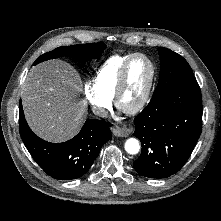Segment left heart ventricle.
<instances>
[{
    "label": "left heart ventricle",
    "mask_w": 221,
    "mask_h": 221,
    "mask_svg": "<svg viewBox=\"0 0 221 221\" xmlns=\"http://www.w3.org/2000/svg\"><path fill=\"white\" fill-rule=\"evenodd\" d=\"M150 65L143 58H136L130 65L127 84L120 100L122 109H130L143 96L150 78Z\"/></svg>",
    "instance_id": "obj_1"
}]
</instances>
